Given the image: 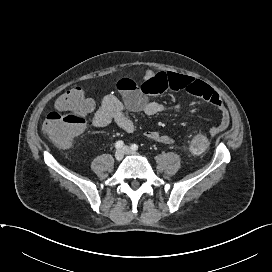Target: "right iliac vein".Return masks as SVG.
<instances>
[{
	"label": "right iliac vein",
	"mask_w": 272,
	"mask_h": 272,
	"mask_svg": "<svg viewBox=\"0 0 272 272\" xmlns=\"http://www.w3.org/2000/svg\"><path fill=\"white\" fill-rule=\"evenodd\" d=\"M115 159L117 160V161H121L122 159H123V157H124V152H123V150L122 149H118L116 152H115Z\"/></svg>",
	"instance_id": "obj_1"
}]
</instances>
